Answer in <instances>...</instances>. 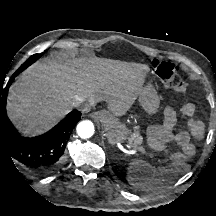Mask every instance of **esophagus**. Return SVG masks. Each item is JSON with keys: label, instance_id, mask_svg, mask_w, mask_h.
Here are the masks:
<instances>
[{"label": "esophagus", "instance_id": "obj_1", "mask_svg": "<svg viewBox=\"0 0 216 216\" xmlns=\"http://www.w3.org/2000/svg\"><path fill=\"white\" fill-rule=\"evenodd\" d=\"M98 115H99V113H95V114H94L95 117H98Z\"/></svg>", "mask_w": 216, "mask_h": 216}]
</instances>
